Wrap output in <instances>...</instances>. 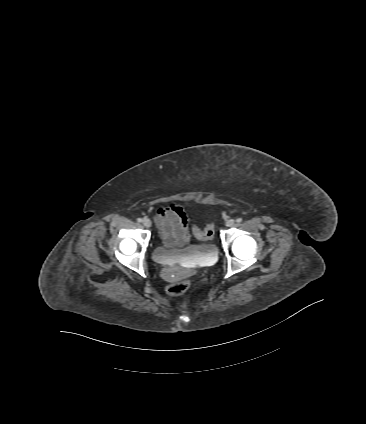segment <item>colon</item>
I'll return each instance as SVG.
<instances>
[{
    "instance_id": "colon-1",
    "label": "colon",
    "mask_w": 366,
    "mask_h": 424,
    "mask_svg": "<svg viewBox=\"0 0 366 424\" xmlns=\"http://www.w3.org/2000/svg\"><path fill=\"white\" fill-rule=\"evenodd\" d=\"M214 224H208L205 228L200 229L196 226H194L192 228V232L195 235V237H197L198 239L201 240H208L211 239L214 235ZM189 287V281L187 280H182V281H178V282H174L171 283L170 285H168L167 287V293L170 296H179L182 295L183 293L186 292V290Z\"/></svg>"
}]
</instances>
